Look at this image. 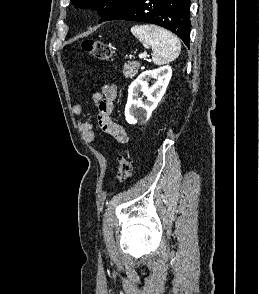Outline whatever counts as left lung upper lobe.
I'll return each mask as SVG.
<instances>
[{
  "label": "left lung upper lobe",
  "mask_w": 259,
  "mask_h": 294,
  "mask_svg": "<svg viewBox=\"0 0 259 294\" xmlns=\"http://www.w3.org/2000/svg\"><path fill=\"white\" fill-rule=\"evenodd\" d=\"M129 0H71L76 8H89L96 10L101 16L99 23L103 22L114 10Z\"/></svg>",
  "instance_id": "obj_1"
}]
</instances>
